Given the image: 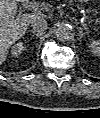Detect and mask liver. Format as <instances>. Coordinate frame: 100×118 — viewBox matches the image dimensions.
<instances>
[{
    "label": "liver",
    "instance_id": "obj_1",
    "mask_svg": "<svg viewBox=\"0 0 100 118\" xmlns=\"http://www.w3.org/2000/svg\"><path fill=\"white\" fill-rule=\"evenodd\" d=\"M26 0H0V61L6 60L8 49L26 32L35 18H44L41 11L17 15V2Z\"/></svg>",
    "mask_w": 100,
    "mask_h": 118
}]
</instances>
